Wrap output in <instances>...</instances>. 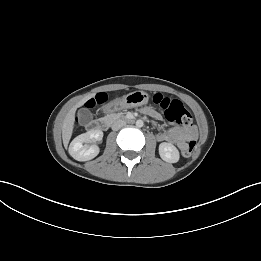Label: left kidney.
<instances>
[{"instance_id": "obj_1", "label": "left kidney", "mask_w": 261, "mask_h": 261, "mask_svg": "<svg viewBox=\"0 0 261 261\" xmlns=\"http://www.w3.org/2000/svg\"><path fill=\"white\" fill-rule=\"evenodd\" d=\"M160 157L169 163H176L179 160V151L171 143L163 142L159 145Z\"/></svg>"}]
</instances>
